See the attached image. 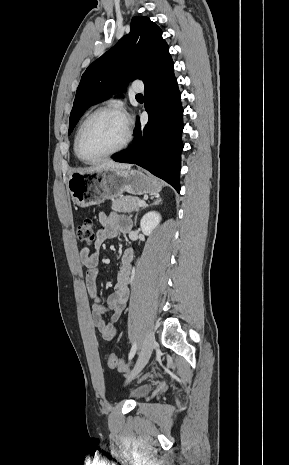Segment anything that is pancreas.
<instances>
[{
  "label": "pancreas",
  "instance_id": "1",
  "mask_svg": "<svg viewBox=\"0 0 289 465\" xmlns=\"http://www.w3.org/2000/svg\"><path fill=\"white\" fill-rule=\"evenodd\" d=\"M140 201L137 197L131 196H122L112 201V210L115 212H133L138 211L140 205L138 202Z\"/></svg>",
  "mask_w": 289,
  "mask_h": 465
}]
</instances>
